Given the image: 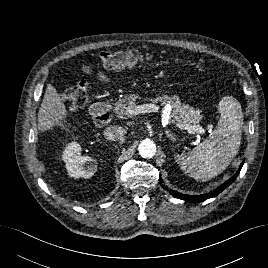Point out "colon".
I'll use <instances>...</instances> for the list:
<instances>
[{
	"label": "colon",
	"mask_w": 268,
	"mask_h": 268,
	"mask_svg": "<svg viewBox=\"0 0 268 268\" xmlns=\"http://www.w3.org/2000/svg\"><path fill=\"white\" fill-rule=\"evenodd\" d=\"M150 59L149 54L136 50L105 51L99 55V65L110 70L133 68ZM65 104L75 110L82 107L88 99V85L77 83L61 93Z\"/></svg>",
	"instance_id": "obj_1"
}]
</instances>
